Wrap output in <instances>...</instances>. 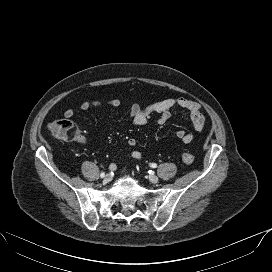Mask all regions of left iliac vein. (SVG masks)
<instances>
[{"label": "left iliac vein", "mask_w": 272, "mask_h": 272, "mask_svg": "<svg viewBox=\"0 0 272 272\" xmlns=\"http://www.w3.org/2000/svg\"><path fill=\"white\" fill-rule=\"evenodd\" d=\"M158 177L156 175H150L149 176V181L152 183H157L158 182Z\"/></svg>", "instance_id": "4c4485c4"}]
</instances>
